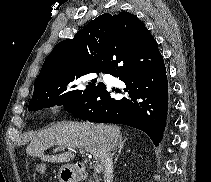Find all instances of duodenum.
I'll list each match as a JSON object with an SVG mask.
<instances>
[{
  "label": "duodenum",
  "instance_id": "obj_1",
  "mask_svg": "<svg viewBox=\"0 0 211 182\" xmlns=\"http://www.w3.org/2000/svg\"><path fill=\"white\" fill-rule=\"evenodd\" d=\"M80 176L81 178H86L88 176L87 172L82 167H80Z\"/></svg>",
  "mask_w": 211,
  "mask_h": 182
}]
</instances>
